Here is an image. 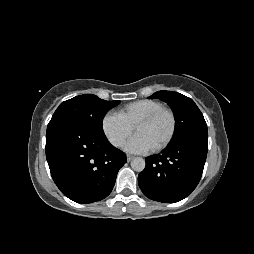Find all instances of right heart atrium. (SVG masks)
<instances>
[{
	"mask_svg": "<svg viewBox=\"0 0 254 254\" xmlns=\"http://www.w3.org/2000/svg\"><path fill=\"white\" fill-rule=\"evenodd\" d=\"M101 130L109 143L120 148L133 132V127L126 123L117 113L107 112L101 121Z\"/></svg>",
	"mask_w": 254,
	"mask_h": 254,
	"instance_id": "1",
	"label": "right heart atrium"
}]
</instances>
